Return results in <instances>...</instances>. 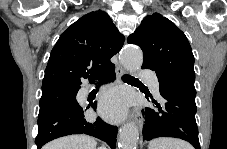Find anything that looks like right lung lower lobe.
I'll return each instance as SVG.
<instances>
[{"instance_id":"right-lung-lower-lobe-1","label":"right lung lower lobe","mask_w":227,"mask_h":149,"mask_svg":"<svg viewBox=\"0 0 227 149\" xmlns=\"http://www.w3.org/2000/svg\"><path fill=\"white\" fill-rule=\"evenodd\" d=\"M115 66H111L99 78L102 83L115 80ZM94 109L96 104L93 105ZM38 135L35 139L40 149L47 142L71 134H88L106 142L115 149L118 128L102 121L99 117L96 122L88 123L84 119V109L79 106H56L38 116Z\"/></svg>"}]
</instances>
